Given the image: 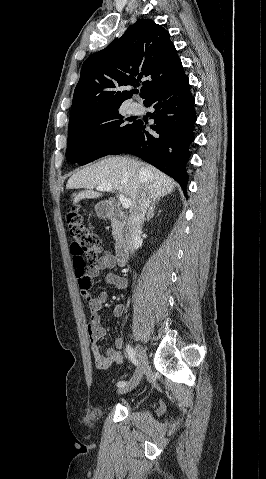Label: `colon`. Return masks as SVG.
<instances>
[{"mask_svg":"<svg viewBox=\"0 0 266 479\" xmlns=\"http://www.w3.org/2000/svg\"><path fill=\"white\" fill-rule=\"evenodd\" d=\"M67 225L72 239L70 251L75 276L82 295L88 297L93 287V280L86 272V268L94 264L101 256L102 241L96 233L89 230L85 217L79 210L72 209L68 213Z\"/></svg>","mask_w":266,"mask_h":479,"instance_id":"colon-1","label":"colon"}]
</instances>
